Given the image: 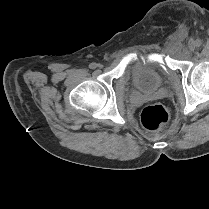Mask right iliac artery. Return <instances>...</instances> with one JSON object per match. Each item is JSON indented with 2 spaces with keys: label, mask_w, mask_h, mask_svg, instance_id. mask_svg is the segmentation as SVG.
<instances>
[{
  "label": "right iliac artery",
  "mask_w": 209,
  "mask_h": 209,
  "mask_svg": "<svg viewBox=\"0 0 209 209\" xmlns=\"http://www.w3.org/2000/svg\"><path fill=\"white\" fill-rule=\"evenodd\" d=\"M96 67H97V64L96 63H91L89 65V68H91V69H95Z\"/></svg>",
  "instance_id": "right-iliac-artery-1"
}]
</instances>
